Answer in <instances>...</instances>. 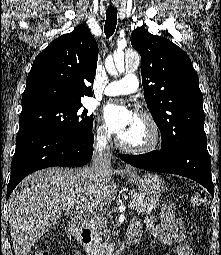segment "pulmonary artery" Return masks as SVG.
Wrapping results in <instances>:
<instances>
[{
	"label": "pulmonary artery",
	"mask_w": 221,
	"mask_h": 255,
	"mask_svg": "<svg viewBox=\"0 0 221 255\" xmlns=\"http://www.w3.org/2000/svg\"><path fill=\"white\" fill-rule=\"evenodd\" d=\"M138 79L134 74H127L122 79L110 82L104 89L107 96L132 94L138 89Z\"/></svg>",
	"instance_id": "e3ab8cb5"
}]
</instances>
